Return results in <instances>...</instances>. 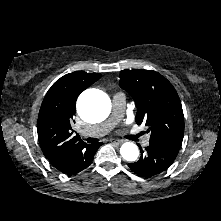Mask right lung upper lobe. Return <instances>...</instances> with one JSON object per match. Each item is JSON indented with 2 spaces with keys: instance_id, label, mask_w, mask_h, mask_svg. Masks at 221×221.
<instances>
[{
  "instance_id": "right-lung-upper-lobe-1",
  "label": "right lung upper lobe",
  "mask_w": 221,
  "mask_h": 221,
  "mask_svg": "<svg viewBox=\"0 0 221 221\" xmlns=\"http://www.w3.org/2000/svg\"><path fill=\"white\" fill-rule=\"evenodd\" d=\"M100 77L99 73L66 74L44 97L37 122L38 138L46 158L61 172L70 169L89 146L78 136H72L71 122L78 96Z\"/></svg>"
}]
</instances>
